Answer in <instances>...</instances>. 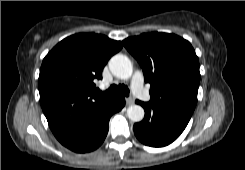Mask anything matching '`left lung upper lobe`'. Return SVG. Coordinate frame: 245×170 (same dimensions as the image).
Returning a JSON list of instances; mask_svg holds the SVG:
<instances>
[{
  "mask_svg": "<svg viewBox=\"0 0 245 170\" xmlns=\"http://www.w3.org/2000/svg\"><path fill=\"white\" fill-rule=\"evenodd\" d=\"M150 83V102L192 115L200 82L199 60L191 44L174 34L148 33L123 41Z\"/></svg>",
  "mask_w": 245,
  "mask_h": 170,
  "instance_id": "left-lung-upper-lobe-1",
  "label": "left lung upper lobe"
}]
</instances>
